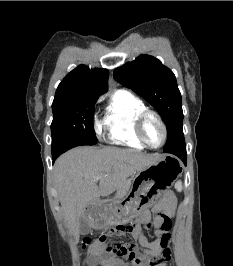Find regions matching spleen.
I'll return each mask as SVG.
<instances>
[{"mask_svg":"<svg viewBox=\"0 0 233 266\" xmlns=\"http://www.w3.org/2000/svg\"><path fill=\"white\" fill-rule=\"evenodd\" d=\"M175 188H176L178 191H181V190H182V183H181V181H178V182L175 184Z\"/></svg>","mask_w":233,"mask_h":266,"instance_id":"obj_1","label":"spleen"}]
</instances>
